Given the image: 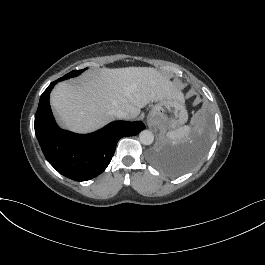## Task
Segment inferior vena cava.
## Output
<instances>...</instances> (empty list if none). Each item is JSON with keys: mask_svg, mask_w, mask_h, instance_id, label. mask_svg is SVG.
I'll list each match as a JSON object with an SVG mask.
<instances>
[{"mask_svg": "<svg viewBox=\"0 0 265 265\" xmlns=\"http://www.w3.org/2000/svg\"><path fill=\"white\" fill-rule=\"evenodd\" d=\"M113 115L119 119H127L128 118V113L124 110H121V109L113 111Z\"/></svg>", "mask_w": 265, "mask_h": 265, "instance_id": "602c4592", "label": "inferior vena cava"}]
</instances>
